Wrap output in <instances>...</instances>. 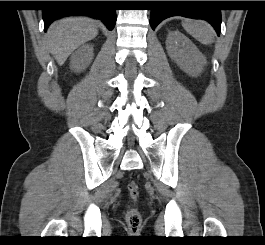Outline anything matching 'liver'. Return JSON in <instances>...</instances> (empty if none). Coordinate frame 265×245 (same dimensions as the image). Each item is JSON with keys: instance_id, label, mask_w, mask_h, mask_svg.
Masks as SVG:
<instances>
[{"instance_id": "liver-1", "label": "liver", "mask_w": 265, "mask_h": 245, "mask_svg": "<svg viewBox=\"0 0 265 245\" xmlns=\"http://www.w3.org/2000/svg\"><path fill=\"white\" fill-rule=\"evenodd\" d=\"M98 34L97 23L86 17H67L54 22L48 32V46L59 65L70 54Z\"/></svg>"}]
</instances>
